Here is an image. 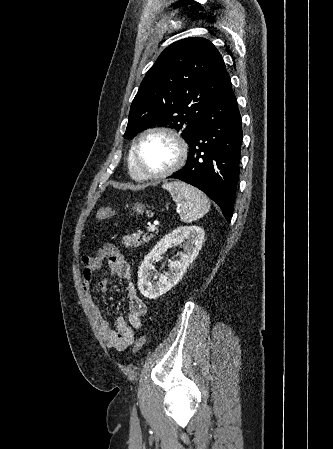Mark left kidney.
<instances>
[{
  "mask_svg": "<svg viewBox=\"0 0 333 449\" xmlns=\"http://www.w3.org/2000/svg\"><path fill=\"white\" fill-rule=\"evenodd\" d=\"M205 232L200 226L179 227L163 237L154 248L145 256L138 270V288L143 296L155 299L173 286L183 277L189 265L195 260L204 242ZM181 245L184 249L180 252L179 260L171 261L169 264L171 274H152L153 263L161 259L168 248ZM156 280L153 284L150 278Z\"/></svg>",
  "mask_w": 333,
  "mask_h": 449,
  "instance_id": "5707ae66",
  "label": "left kidney"
}]
</instances>
